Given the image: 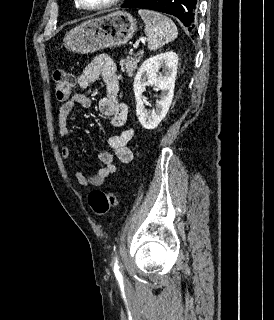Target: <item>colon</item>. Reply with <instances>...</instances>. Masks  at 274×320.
I'll use <instances>...</instances> for the list:
<instances>
[{"mask_svg":"<svg viewBox=\"0 0 274 320\" xmlns=\"http://www.w3.org/2000/svg\"><path fill=\"white\" fill-rule=\"evenodd\" d=\"M55 98L60 102H65L70 98L74 89V79L71 73L63 67H58L53 72ZM119 197L117 193L107 192L101 189L93 190L88 198V206L98 217H103L108 211L117 206Z\"/></svg>","mask_w":274,"mask_h":320,"instance_id":"colon-1","label":"colon"}]
</instances>
